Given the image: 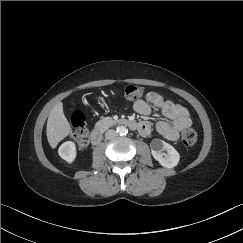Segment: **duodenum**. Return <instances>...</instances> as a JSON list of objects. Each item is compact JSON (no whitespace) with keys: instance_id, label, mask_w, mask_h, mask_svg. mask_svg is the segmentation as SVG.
Here are the masks:
<instances>
[{"instance_id":"410a0bca","label":"duodenum","mask_w":243,"mask_h":243,"mask_svg":"<svg viewBox=\"0 0 243 243\" xmlns=\"http://www.w3.org/2000/svg\"><path fill=\"white\" fill-rule=\"evenodd\" d=\"M119 125L126 126L131 128L132 130H138L139 128V123L129 120V119H123L118 121ZM102 138V132L100 129L95 128L92 130L91 135H90V140L93 145L98 144L101 141Z\"/></svg>"}]
</instances>
